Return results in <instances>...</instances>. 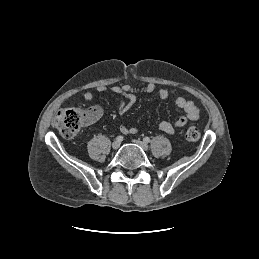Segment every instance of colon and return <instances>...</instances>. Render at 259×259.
<instances>
[{
  "label": "colon",
  "mask_w": 259,
  "mask_h": 259,
  "mask_svg": "<svg viewBox=\"0 0 259 259\" xmlns=\"http://www.w3.org/2000/svg\"><path fill=\"white\" fill-rule=\"evenodd\" d=\"M93 117L92 110H84L81 107H72L60 110L55 117V125L60 134L67 139L75 137L81 127ZM201 137L198 128L189 127L185 138L189 142H197Z\"/></svg>",
  "instance_id": "1"
}]
</instances>
